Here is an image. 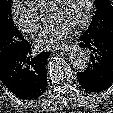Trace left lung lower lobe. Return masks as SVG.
<instances>
[{
  "instance_id": "obj_1",
  "label": "left lung lower lobe",
  "mask_w": 113,
  "mask_h": 113,
  "mask_svg": "<svg viewBox=\"0 0 113 113\" xmlns=\"http://www.w3.org/2000/svg\"><path fill=\"white\" fill-rule=\"evenodd\" d=\"M79 46L90 56L86 70L77 73L80 85L90 92H101L113 84V31L80 36Z\"/></svg>"
}]
</instances>
